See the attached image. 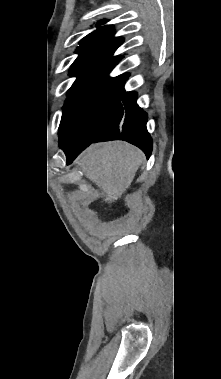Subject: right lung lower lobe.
Returning <instances> with one entry per match:
<instances>
[{"label": "right lung lower lobe", "mask_w": 221, "mask_h": 379, "mask_svg": "<svg viewBox=\"0 0 221 379\" xmlns=\"http://www.w3.org/2000/svg\"><path fill=\"white\" fill-rule=\"evenodd\" d=\"M146 122L147 114L136 104V93L123 91V96L113 116L95 138L79 143H65L60 139L59 144L66 154L67 164H70L91 143L108 140L130 142L142 149L149 158L152 151V139L147 132Z\"/></svg>", "instance_id": "1"}]
</instances>
